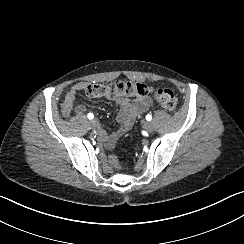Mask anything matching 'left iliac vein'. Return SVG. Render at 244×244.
Wrapping results in <instances>:
<instances>
[{
	"mask_svg": "<svg viewBox=\"0 0 244 244\" xmlns=\"http://www.w3.org/2000/svg\"><path fill=\"white\" fill-rule=\"evenodd\" d=\"M143 128L150 134L153 133L154 131V126L151 122H145L143 124Z\"/></svg>",
	"mask_w": 244,
	"mask_h": 244,
	"instance_id": "left-iliac-vein-1",
	"label": "left iliac vein"
}]
</instances>
